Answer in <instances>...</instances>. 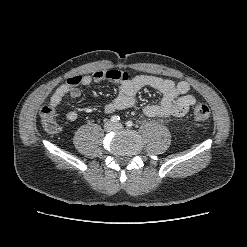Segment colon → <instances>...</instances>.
Returning <instances> with one entry per match:
<instances>
[{"mask_svg":"<svg viewBox=\"0 0 247 247\" xmlns=\"http://www.w3.org/2000/svg\"><path fill=\"white\" fill-rule=\"evenodd\" d=\"M56 113L57 109L51 105L44 106L40 111L43 126L48 132H55L58 129ZM193 116L196 121L205 122L210 117V108L206 104L199 103L193 109Z\"/></svg>","mask_w":247,"mask_h":247,"instance_id":"obj_1","label":"colon"}]
</instances>
